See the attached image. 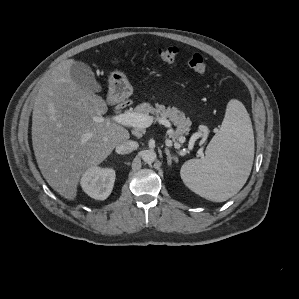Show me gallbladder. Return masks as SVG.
Segmentation results:
<instances>
[{"label": "gallbladder", "mask_w": 299, "mask_h": 299, "mask_svg": "<svg viewBox=\"0 0 299 299\" xmlns=\"http://www.w3.org/2000/svg\"><path fill=\"white\" fill-rule=\"evenodd\" d=\"M72 81L80 88L94 93L102 91L101 85L97 82L95 75L89 65L75 61L70 67Z\"/></svg>", "instance_id": "1"}]
</instances>
